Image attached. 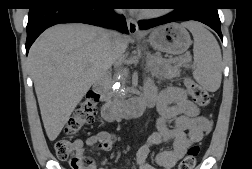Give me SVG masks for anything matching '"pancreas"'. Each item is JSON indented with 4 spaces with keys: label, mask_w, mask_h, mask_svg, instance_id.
<instances>
[{
    "label": "pancreas",
    "mask_w": 252,
    "mask_h": 169,
    "mask_svg": "<svg viewBox=\"0 0 252 169\" xmlns=\"http://www.w3.org/2000/svg\"><path fill=\"white\" fill-rule=\"evenodd\" d=\"M147 66L149 70L151 71L152 75L154 76H160L167 79H171L174 77H177L180 75V67L184 66L186 67L187 64L183 61L177 62L174 59H168L164 60L161 58V56L157 55L155 57H152L148 63ZM119 74L124 75L126 74V70H122L119 72ZM130 89H126L125 92L121 93L122 97H114L115 102H121L125 101L127 97H129Z\"/></svg>",
    "instance_id": "obj_1"
}]
</instances>
